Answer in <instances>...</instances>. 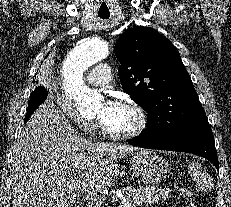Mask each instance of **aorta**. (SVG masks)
Instances as JSON below:
<instances>
[{"label": "aorta", "mask_w": 231, "mask_h": 207, "mask_svg": "<svg viewBox=\"0 0 231 207\" xmlns=\"http://www.w3.org/2000/svg\"><path fill=\"white\" fill-rule=\"evenodd\" d=\"M108 55L107 43L98 38H92L76 45L63 63L65 94L81 112L94 111L102 101V96L97 91L84 84L83 74L89 67L105 59Z\"/></svg>", "instance_id": "aorta-1"}]
</instances>
